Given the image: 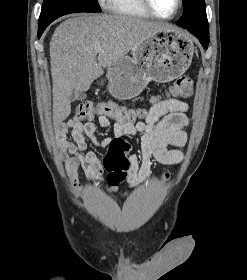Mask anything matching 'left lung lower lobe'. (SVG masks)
Listing matches in <instances>:
<instances>
[{
	"instance_id": "left-lung-lower-lobe-1",
	"label": "left lung lower lobe",
	"mask_w": 247,
	"mask_h": 280,
	"mask_svg": "<svg viewBox=\"0 0 247 280\" xmlns=\"http://www.w3.org/2000/svg\"><path fill=\"white\" fill-rule=\"evenodd\" d=\"M177 25H179V23H177ZM180 26V25H179ZM182 27V26H181ZM184 28V27H183ZM190 32H192L195 36L198 37L199 41L201 42L202 46L204 47V49H207V46L209 44V36H206L204 34H201L199 32H197L194 29H190Z\"/></svg>"
}]
</instances>
